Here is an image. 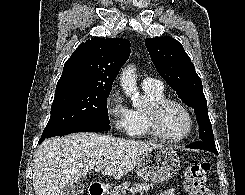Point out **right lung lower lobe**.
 <instances>
[{
    "label": "right lung lower lobe",
    "instance_id": "1",
    "mask_svg": "<svg viewBox=\"0 0 245 195\" xmlns=\"http://www.w3.org/2000/svg\"><path fill=\"white\" fill-rule=\"evenodd\" d=\"M110 129L109 123L103 122H93L87 123L78 127H75L67 132L60 134V136L75 133V132H100V131H107ZM42 141L39 140V143Z\"/></svg>",
    "mask_w": 245,
    "mask_h": 195
}]
</instances>
